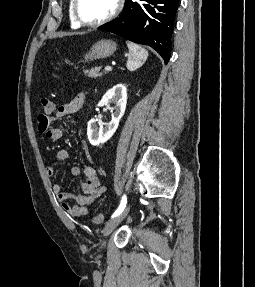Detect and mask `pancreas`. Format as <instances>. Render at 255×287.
Returning <instances> with one entry per match:
<instances>
[{
  "mask_svg": "<svg viewBox=\"0 0 255 287\" xmlns=\"http://www.w3.org/2000/svg\"><path fill=\"white\" fill-rule=\"evenodd\" d=\"M100 70L101 68H92V70H86L84 74H87L88 78H98V76H102Z\"/></svg>",
  "mask_w": 255,
  "mask_h": 287,
  "instance_id": "cf45deb5",
  "label": "pancreas"
}]
</instances>
